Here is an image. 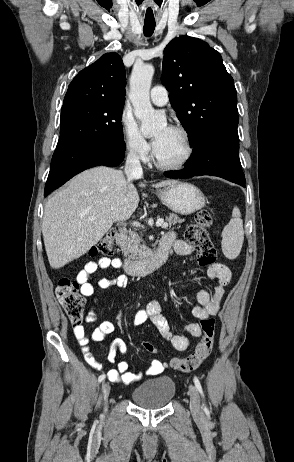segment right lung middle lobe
I'll use <instances>...</instances> for the list:
<instances>
[{"label":"right lung middle lobe","mask_w":294,"mask_h":462,"mask_svg":"<svg viewBox=\"0 0 294 462\" xmlns=\"http://www.w3.org/2000/svg\"><path fill=\"white\" fill-rule=\"evenodd\" d=\"M125 100L79 99L63 103L56 148L72 142L123 140L120 123Z\"/></svg>","instance_id":"1"}]
</instances>
